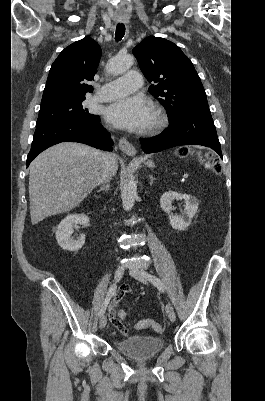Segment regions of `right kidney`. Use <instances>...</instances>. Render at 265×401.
<instances>
[{
    "label": "right kidney",
    "instance_id": "ca27d5eb",
    "mask_svg": "<svg viewBox=\"0 0 265 401\" xmlns=\"http://www.w3.org/2000/svg\"><path fill=\"white\" fill-rule=\"evenodd\" d=\"M77 223L84 225V227H89V217L87 215H68L57 227L56 241L66 251H79L85 243V235H80L77 241H74L71 237L73 225H77Z\"/></svg>",
    "mask_w": 265,
    "mask_h": 401
}]
</instances>
